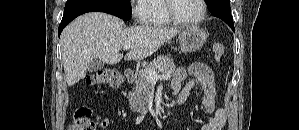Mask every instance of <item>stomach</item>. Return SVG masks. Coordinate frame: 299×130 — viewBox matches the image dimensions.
<instances>
[{"mask_svg": "<svg viewBox=\"0 0 299 130\" xmlns=\"http://www.w3.org/2000/svg\"><path fill=\"white\" fill-rule=\"evenodd\" d=\"M207 38L208 34L205 30L197 26H190L179 35L180 49L185 53L200 50Z\"/></svg>", "mask_w": 299, "mask_h": 130, "instance_id": "0dacf381", "label": "stomach"}]
</instances>
